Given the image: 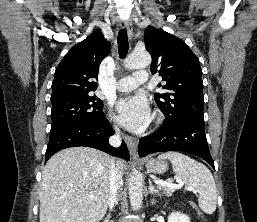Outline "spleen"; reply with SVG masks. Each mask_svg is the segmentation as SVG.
I'll return each instance as SVG.
<instances>
[{
    "instance_id": "3e777b00",
    "label": "spleen",
    "mask_w": 257,
    "mask_h": 222,
    "mask_svg": "<svg viewBox=\"0 0 257 222\" xmlns=\"http://www.w3.org/2000/svg\"><path fill=\"white\" fill-rule=\"evenodd\" d=\"M159 158L171 161L176 179L194 187L199 193L200 209L206 214H213L217 205V189L211 171L202 163L179 152L162 153Z\"/></svg>"
}]
</instances>
